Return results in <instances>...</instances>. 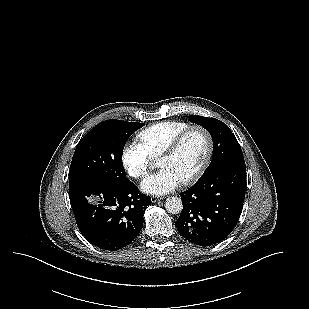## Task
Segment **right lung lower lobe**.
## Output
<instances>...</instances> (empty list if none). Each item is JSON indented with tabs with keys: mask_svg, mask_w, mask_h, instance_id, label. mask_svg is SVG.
<instances>
[{
	"mask_svg": "<svg viewBox=\"0 0 309 309\" xmlns=\"http://www.w3.org/2000/svg\"><path fill=\"white\" fill-rule=\"evenodd\" d=\"M69 192L80 232L90 243L108 251L135 240L143 226V211L151 203L131 181L118 185L87 178L70 184Z\"/></svg>",
	"mask_w": 309,
	"mask_h": 309,
	"instance_id": "right-lung-lower-lobe-1",
	"label": "right lung lower lobe"
}]
</instances>
